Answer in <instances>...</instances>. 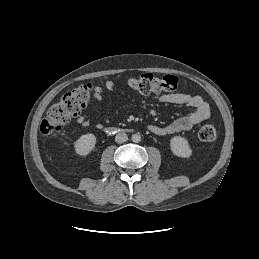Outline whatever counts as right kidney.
<instances>
[{"label":"right kidney","instance_id":"right-kidney-1","mask_svg":"<svg viewBox=\"0 0 259 259\" xmlns=\"http://www.w3.org/2000/svg\"><path fill=\"white\" fill-rule=\"evenodd\" d=\"M95 144V135L89 133L79 137V139L76 140L74 147L78 155L86 156L95 148Z\"/></svg>","mask_w":259,"mask_h":259}]
</instances>
